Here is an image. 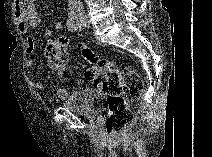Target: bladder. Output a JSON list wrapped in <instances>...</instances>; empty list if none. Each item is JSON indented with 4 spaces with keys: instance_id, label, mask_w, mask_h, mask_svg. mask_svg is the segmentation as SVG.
Returning <instances> with one entry per match:
<instances>
[{
    "instance_id": "31cf9c89",
    "label": "bladder",
    "mask_w": 212,
    "mask_h": 157,
    "mask_svg": "<svg viewBox=\"0 0 212 157\" xmlns=\"http://www.w3.org/2000/svg\"><path fill=\"white\" fill-rule=\"evenodd\" d=\"M105 97L104 93L94 88L78 89L68 95L62 106L86 118L95 119Z\"/></svg>"
}]
</instances>
